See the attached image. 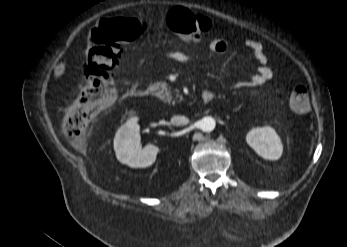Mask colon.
<instances>
[{
    "label": "colon",
    "mask_w": 347,
    "mask_h": 247,
    "mask_svg": "<svg viewBox=\"0 0 347 247\" xmlns=\"http://www.w3.org/2000/svg\"><path fill=\"white\" fill-rule=\"evenodd\" d=\"M166 23L187 41L197 40L212 25L206 16L185 8L172 9ZM156 25L152 20L116 16L101 20L94 28L85 63V85L79 99L66 110L62 120L65 135L80 134L94 116L113 103L116 93L115 70L123 56V46ZM289 103L293 110L306 112L309 108L306 87H294Z\"/></svg>",
    "instance_id": "colon-1"
}]
</instances>
